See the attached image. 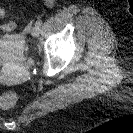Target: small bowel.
Masks as SVG:
<instances>
[{
  "label": "small bowel",
  "instance_id": "obj_1",
  "mask_svg": "<svg viewBox=\"0 0 133 133\" xmlns=\"http://www.w3.org/2000/svg\"><path fill=\"white\" fill-rule=\"evenodd\" d=\"M2 29L5 30V31H11V30H13L14 28H10L8 24H4V25L2 26Z\"/></svg>",
  "mask_w": 133,
  "mask_h": 133
}]
</instances>
